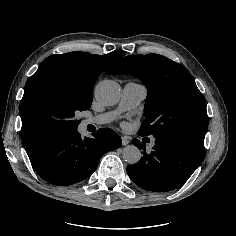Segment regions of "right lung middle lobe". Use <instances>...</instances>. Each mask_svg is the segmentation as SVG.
Returning a JSON list of instances; mask_svg holds the SVG:
<instances>
[{
	"label": "right lung middle lobe",
	"mask_w": 236,
	"mask_h": 236,
	"mask_svg": "<svg viewBox=\"0 0 236 236\" xmlns=\"http://www.w3.org/2000/svg\"><path fill=\"white\" fill-rule=\"evenodd\" d=\"M93 87L62 72L32 75L20 102L21 137L26 152L33 153L54 137L77 130L81 120L75 115L90 108Z\"/></svg>",
	"instance_id": "1"
}]
</instances>
